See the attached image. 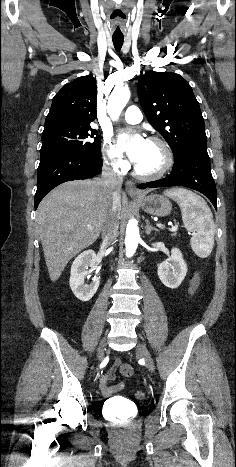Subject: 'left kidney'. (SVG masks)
<instances>
[{"label":"left kidney","mask_w":236,"mask_h":467,"mask_svg":"<svg viewBox=\"0 0 236 467\" xmlns=\"http://www.w3.org/2000/svg\"><path fill=\"white\" fill-rule=\"evenodd\" d=\"M159 279L168 288L176 289L187 274V264L179 249L173 248L171 256L160 263L157 270Z\"/></svg>","instance_id":"1"}]
</instances>
